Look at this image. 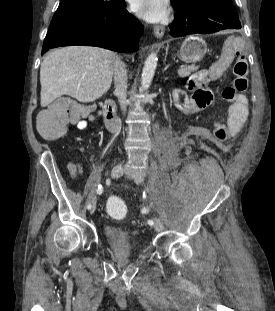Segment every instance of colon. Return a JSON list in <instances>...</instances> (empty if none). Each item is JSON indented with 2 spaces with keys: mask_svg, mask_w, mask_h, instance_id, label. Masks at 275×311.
<instances>
[{
  "mask_svg": "<svg viewBox=\"0 0 275 311\" xmlns=\"http://www.w3.org/2000/svg\"><path fill=\"white\" fill-rule=\"evenodd\" d=\"M233 71L235 75L234 80L222 90V98L228 102L232 101L238 93L244 92L247 89L248 65L245 57H237ZM192 100L195 101V99ZM78 117L79 115L73 102L59 100L53 103L45 112L39 114V132L47 139L58 138L64 134L65 127L78 119ZM106 206L108 212L113 217H122L126 213L124 202L117 197L109 198Z\"/></svg>",
  "mask_w": 275,
  "mask_h": 311,
  "instance_id": "obj_1",
  "label": "colon"
}]
</instances>
